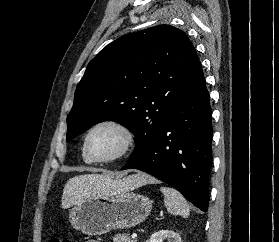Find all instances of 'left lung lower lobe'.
Instances as JSON below:
<instances>
[{"label":"left lung lower lobe","instance_id":"1","mask_svg":"<svg viewBox=\"0 0 279 242\" xmlns=\"http://www.w3.org/2000/svg\"><path fill=\"white\" fill-rule=\"evenodd\" d=\"M212 120L201 64L176 102L159 136L122 168L138 169L168 183L202 211L209 205Z\"/></svg>","mask_w":279,"mask_h":242}]
</instances>
